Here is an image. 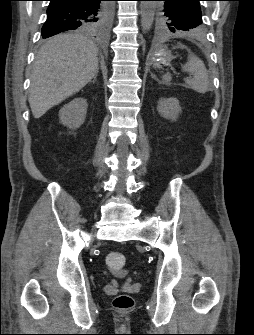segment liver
<instances>
[{"label": "liver", "instance_id": "liver-1", "mask_svg": "<svg viewBox=\"0 0 254 335\" xmlns=\"http://www.w3.org/2000/svg\"><path fill=\"white\" fill-rule=\"evenodd\" d=\"M98 73V49L79 34H60L39 50L32 70L29 104L34 118L80 91Z\"/></svg>", "mask_w": 254, "mask_h": 335}]
</instances>
